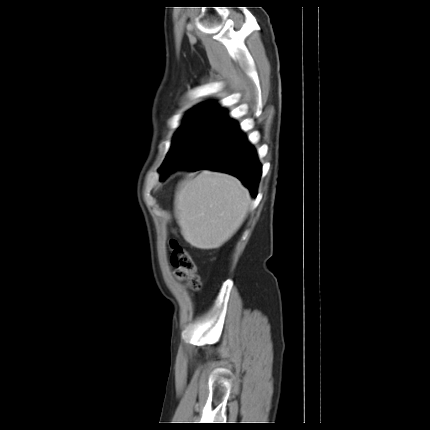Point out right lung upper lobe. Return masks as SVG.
I'll use <instances>...</instances> for the list:
<instances>
[{"instance_id":"right-lung-upper-lobe-1","label":"right lung upper lobe","mask_w":430,"mask_h":430,"mask_svg":"<svg viewBox=\"0 0 430 430\" xmlns=\"http://www.w3.org/2000/svg\"><path fill=\"white\" fill-rule=\"evenodd\" d=\"M212 107L213 106V102H208V103H204L202 105H200L198 108H203V107Z\"/></svg>"}]
</instances>
